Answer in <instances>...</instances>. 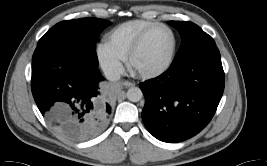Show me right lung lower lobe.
<instances>
[{
	"instance_id": "right-lung-lower-lobe-1",
	"label": "right lung lower lobe",
	"mask_w": 267,
	"mask_h": 166,
	"mask_svg": "<svg viewBox=\"0 0 267 166\" xmlns=\"http://www.w3.org/2000/svg\"><path fill=\"white\" fill-rule=\"evenodd\" d=\"M97 66L55 45L37 46L32 58L31 89L47 121L64 135L86 139L101 132L111 114L103 103Z\"/></svg>"
}]
</instances>
